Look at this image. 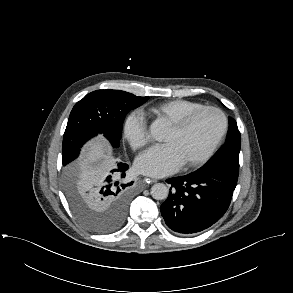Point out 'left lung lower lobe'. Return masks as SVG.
I'll list each match as a JSON object with an SVG mask.
<instances>
[{
	"label": "left lung lower lobe",
	"mask_w": 293,
	"mask_h": 293,
	"mask_svg": "<svg viewBox=\"0 0 293 293\" xmlns=\"http://www.w3.org/2000/svg\"><path fill=\"white\" fill-rule=\"evenodd\" d=\"M161 214L167 226L180 234H194L217 222L227 211L237 182L214 173L192 172L170 178Z\"/></svg>",
	"instance_id": "1"
}]
</instances>
